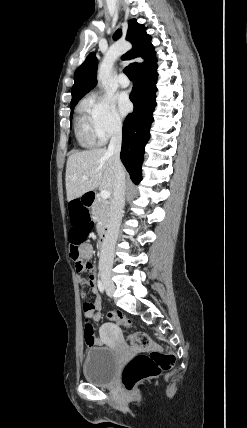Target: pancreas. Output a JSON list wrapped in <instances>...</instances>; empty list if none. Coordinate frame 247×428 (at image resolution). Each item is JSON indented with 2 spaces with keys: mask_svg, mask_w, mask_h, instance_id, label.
<instances>
[{
  "mask_svg": "<svg viewBox=\"0 0 247 428\" xmlns=\"http://www.w3.org/2000/svg\"><path fill=\"white\" fill-rule=\"evenodd\" d=\"M110 204L108 201L98 197L92 207V214L98 222V230L106 228L109 221Z\"/></svg>",
  "mask_w": 247,
  "mask_h": 428,
  "instance_id": "cf45deb5",
  "label": "pancreas"
}]
</instances>
